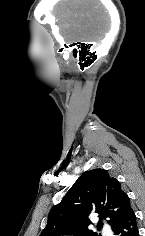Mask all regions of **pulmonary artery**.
<instances>
[{
  "mask_svg": "<svg viewBox=\"0 0 145 236\" xmlns=\"http://www.w3.org/2000/svg\"><path fill=\"white\" fill-rule=\"evenodd\" d=\"M103 232H104V234L107 235V236H111V235H112L111 229H110L109 227H107V226H105V227L103 228Z\"/></svg>",
  "mask_w": 145,
  "mask_h": 236,
  "instance_id": "1",
  "label": "pulmonary artery"
}]
</instances>
